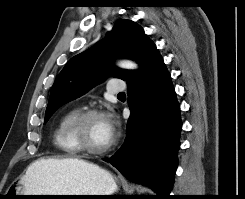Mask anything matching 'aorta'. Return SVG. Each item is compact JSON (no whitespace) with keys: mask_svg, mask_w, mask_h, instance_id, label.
I'll return each instance as SVG.
<instances>
[{"mask_svg":"<svg viewBox=\"0 0 245 199\" xmlns=\"http://www.w3.org/2000/svg\"><path fill=\"white\" fill-rule=\"evenodd\" d=\"M118 66L122 69H128V70L138 69V65L131 60H122L118 63Z\"/></svg>","mask_w":245,"mask_h":199,"instance_id":"762f6f07","label":"aorta"}]
</instances>
